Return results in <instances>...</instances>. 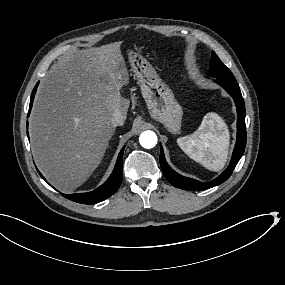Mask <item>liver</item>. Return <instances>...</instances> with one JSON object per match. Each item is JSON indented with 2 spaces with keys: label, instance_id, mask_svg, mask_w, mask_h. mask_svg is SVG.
I'll use <instances>...</instances> for the list:
<instances>
[{
  "label": "liver",
  "instance_id": "liver-1",
  "mask_svg": "<svg viewBox=\"0 0 285 285\" xmlns=\"http://www.w3.org/2000/svg\"><path fill=\"white\" fill-rule=\"evenodd\" d=\"M121 42L64 53L41 80L30 117L35 161L63 192L83 184L102 161L116 128L113 113L126 117L121 89L130 82Z\"/></svg>",
  "mask_w": 285,
  "mask_h": 285
}]
</instances>
